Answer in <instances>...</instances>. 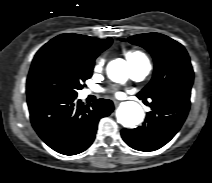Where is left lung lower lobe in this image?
Here are the masks:
<instances>
[{
    "instance_id": "0a47b994",
    "label": "left lung lower lobe",
    "mask_w": 212,
    "mask_h": 183,
    "mask_svg": "<svg viewBox=\"0 0 212 183\" xmlns=\"http://www.w3.org/2000/svg\"><path fill=\"white\" fill-rule=\"evenodd\" d=\"M151 99L152 111L147 113L143 125L121 131L123 140L139 151H154L168 143L181 128L190 108V92L163 93Z\"/></svg>"
}]
</instances>
